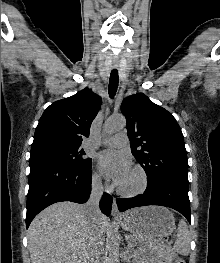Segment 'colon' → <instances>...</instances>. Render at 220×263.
Instances as JSON below:
<instances>
[{
  "instance_id": "5ec220e1",
  "label": "colon",
  "mask_w": 220,
  "mask_h": 263,
  "mask_svg": "<svg viewBox=\"0 0 220 263\" xmlns=\"http://www.w3.org/2000/svg\"><path fill=\"white\" fill-rule=\"evenodd\" d=\"M173 263H185L182 258H176Z\"/></svg>"
}]
</instances>
